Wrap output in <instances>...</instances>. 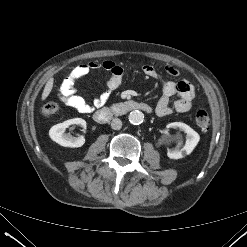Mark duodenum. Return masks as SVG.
Listing matches in <instances>:
<instances>
[{"label": "duodenum", "instance_id": "410a0bca", "mask_svg": "<svg viewBox=\"0 0 247 247\" xmlns=\"http://www.w3.org/2000/svg\"><path fill=\"white\" fill-rule=\"evenodd\" d=\"M136 110L143 111L145 113L153 112V108L148 103L127 100L97 110L94 113V119L96 122L104 124L110 121L113 117L122 116Z\"/></svg>", "mask_w": 247, "mask_h": 247}]
</instances>
